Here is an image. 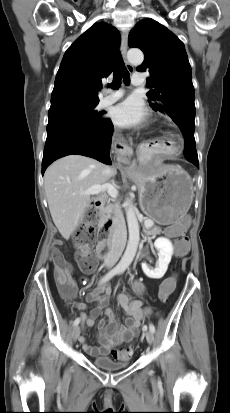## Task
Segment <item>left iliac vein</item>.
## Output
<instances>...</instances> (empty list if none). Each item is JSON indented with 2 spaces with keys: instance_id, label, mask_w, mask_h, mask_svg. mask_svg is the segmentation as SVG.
<instances>
[{
  "instance_id": "left-iliac-vein-1",
  "label": "left iliac vein",
  "mask_w": 230,
  "mask_h": 413,
  "mask_svg": "<svg viewBox=\"0 0 230 413\" xmlns=\"http://www.w3.org/2000/svg\"><path fill=\"white\" fill-rule=\"evenodd\" d=\"M146 340L149 344H152L154 341V334L151 331L146 332Z\"/></svg>"
}]
</instances>
